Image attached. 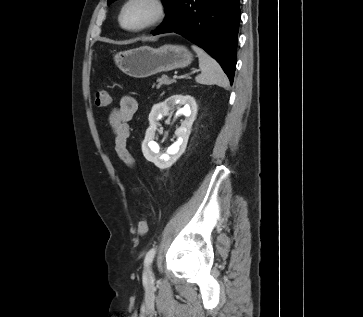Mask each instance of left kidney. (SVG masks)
Instances as JSON below:
<instances>
[{
  "label": "left kidney",
  "instance_id": "left-kidney-1",
  "mask_svg": "<svg viewBox=\"0 0 363 317\" xmlns=\"http://www.w3.org/2000/svg\"><path fill=\"white\" fill-rule=\"evenodd\" d=\"M176 104L184 105L178 112L185 115L186 118L181 122V126L175 132V135L178 138L177 141L168 148L165 154H161L159 152V145L153 141L157 124L163 116L168 115L169 110ZM196 114L197 104L195 99L190 95H173L164 102L155 104L149 114L150 126L146 131L145 139L142 144L144 157L161 169L172 166L186 149Z\"/></svg>",
  "mask_w": 363,
  "mask_h": 317
}]
</instances>
